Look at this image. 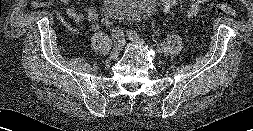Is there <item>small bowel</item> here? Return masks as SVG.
Returning a JSON list of instances; mask_svg holds the SVG:
<instances>
[{
	"label": "small bowel",
	"mask_w": 253,
	"mask_h": 131,
	"mask_svg": "<svg viewBox=\"0 0 253 131\" xmlns=\"http://www.w3.org/2000/svg\"><path fill=\"white\" fill-rule=\"evenodd\" d=\"M63 6L65 7L66 15L71 18L76 23L83 22L84 20L92 24L93 30H98L99 26L97 24L98 12L93 6H87L85 13H81L71 4L72 0H60ZM91 2L92 0H86ZM189 8L187 10V17L190 20H194L200 12L202 5L206 4L209 0H188ZM62 20V17L59 16ZM67 28L71 32H76L77 29L69 24H66Z\"/></svg>",
	"instance_id": "c3829d8e"
}]
</instances>
